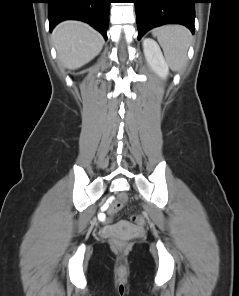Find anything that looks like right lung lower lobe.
I'll use <instances>...</instances> for the list:
<instances>
[{
	"mask_svg": "<svg viewBox=\"0 0 239 296\" xmlns=\"http://www.w3.org/2000/svg\"><path fill=\"white\" fill-rule=\"evenodd\" d=\"M110 0H47L50 31L61 21L89 23L107 39Z\"/></svg>",
	"mask_w": 239,
	"mask_h": 296,
	"instance_id": "obj_1",
	"label": "right lung lower lobe"
}]
</instances>
